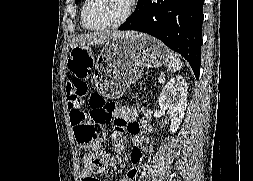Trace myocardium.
I'll list each match as a JSON object with an SVG mask.
<instances>
[{"instance_id":"f54148a6","label":"myocardium","mask_w":253,"mask_h":181,"mask_svg":"<svg viewBox=\"0 0 253 181\" xmlns=\"http://www.w3.org/2000/svg\"><path fill=\"white\" fill-rule=\"evenodd\" d=\"M91 1L92 0H85V3L83 5L82 11H81V23L84 28H86L87 30H90V31H105V30L114 29V28H117V27L123 25L132 16L134 9H135V2H136V0H128V7H127L125 14L116 22H113L108 25L100 26V27H93L88 24L87 18H86L87 9H88Z\"/></svg>"}]
</instances>
